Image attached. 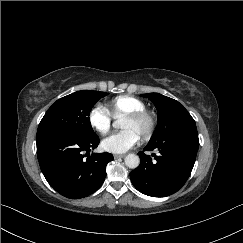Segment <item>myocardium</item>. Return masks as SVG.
<instances>
[{"label": "myocardium", "mask_w": 243, "mask_h": 243, "mask_svg": "<svg viewBox=\"0 0 243 243\" xmlns=\"http://www.w3.org/2000/svg\"><path fill=\"white\" fill-rule=\"evenodd\" d=\"M124 119H128L134 122L144 121L147 123V129L144 135L140 138L142 141H148L153 135L157 126L156 118L146 110L128 114L124 116Z\"/></svg>", "instance_id": "obj_1"}]
</instances>
